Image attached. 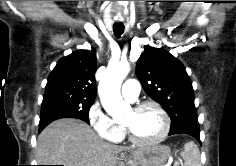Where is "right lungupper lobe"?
<instances>
[{
  "label": "right lung upper lobe",
  "instance_id": "1",
  "mask_svg": "<svg viewBox=\"0 0 236 166\" xmlns=\"http://www.w3.org/2000/svg\"><path fill=\"white\" fill-rule=\"evenodd\" d=\"M96 51L78 50L60 59L48 77L45 94L96 97Z\"/></svg>",
  "mask_w": 236,
  "mask_h": 166
}]
</instances>
